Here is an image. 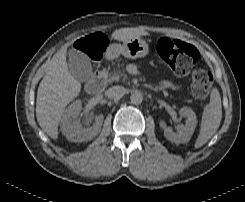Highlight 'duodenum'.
<instances>
[{
    "mask_svg": "<svg viewBox=\"0 0 245 202\" xmlns=\"http://www.w3.org/2000/svg\"><path fill=\"white\" fill-rule=\"evenodd\" d=\"M107 83V74L104 71H98L95 78L86 84V91L90 95H97Z\"/></svg>",
    "mask_w": 245,
    "mask_h": 202,
    "instance_id": "obj_1",
    "label": "duodenum"
}]
</instances>
